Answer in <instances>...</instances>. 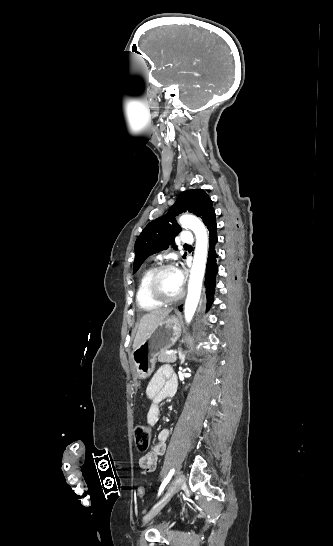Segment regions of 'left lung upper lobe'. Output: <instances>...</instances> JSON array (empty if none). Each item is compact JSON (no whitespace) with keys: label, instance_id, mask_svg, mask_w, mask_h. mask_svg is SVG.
I'll return each instance as SVG.
<instances>
[{"label":"left lung upper lobe","instance_id":"obj_1","mask_svg":"<svg viewBox=\"0 0 333 546\" xmlns=\"http://www.w3.org/2000/svg\"><path fill=\"white\" fill-rule=\"evenodd\" d=\"M189 211L200 217L205 225L215 214L212 201L202 189H192L182 192L170 211L150 222L138 236L135 242V260L133 273L140 268L144 260L151 254L165 250L169 245H174L175 236L181 231L175 216ZM186 253L184 254V257Z\"/></svg>","mask_w":333,"mask_h":546}]
</instances>
